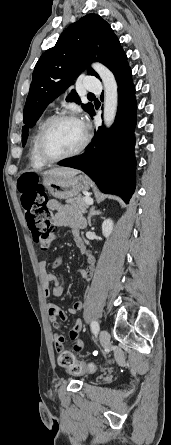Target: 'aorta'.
Returning a JSON list of instances; mask_svg holds the SVG:
<instances>
[{"instance_id":"obj_1","label":"aorta","mask_w":171,"mask_h":445,"mask_svg":"<svg viewBox=\"0 0 171 445\" xmlns=\"http://www.w3.org/2000/svg\"><path fill=\"white\" fill-rule=\"evenodd\" d=\"M93 69L100 76L105 91L104 98V124L110 127L115 119L117 105H118V86L113 73L104 65L100 63H94Z\"/></svg>"}]
</instances>
